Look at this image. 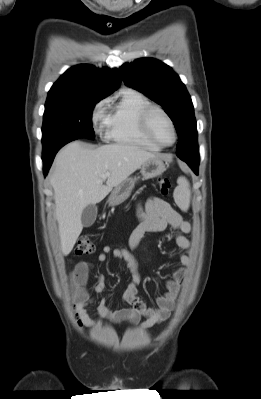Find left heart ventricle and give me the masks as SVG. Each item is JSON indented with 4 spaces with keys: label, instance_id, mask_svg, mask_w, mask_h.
Here are the masks:
<instances>
[{
    "label": "left heart ventricle",
    "instance_id": "left-heart-ventricle-1",
    "mask_svg": "<svg viewBox=\"0 0 261 399\" xmlns=\"http://www.w3.org/2000/svg\"><path fill=\"white\" fill-rule=\"evenodd\" d=\"M150 128L154 137L163 144L173 141V131L167 119L159 112H154L150 117Z\"/></svg>",
    "mask_w": 261,
    "mask_h": 399
}]
</instances>
